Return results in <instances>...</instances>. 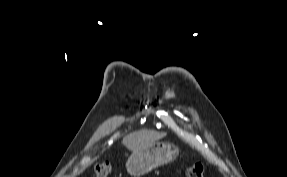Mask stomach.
Wrapping results in <instances>:
<instances>
[{
  "mask_svg": "<svg viewBox=\"0 0 287 177\" xmlns=\"http://www.w3.org/2000/svg\"><path fill=\"white\" fill-rule=\"evenodd\" d=\"M178 148L165 142H155L147 147L132 151L126 162L127 172L140 177L151 170L172 162L178 155Z\"/></svg>",
  "mask_w": 287,
  "mask_h": 177,
  "instance_id": "obj_1",
  "label": "stomach"
}]
</instances>
